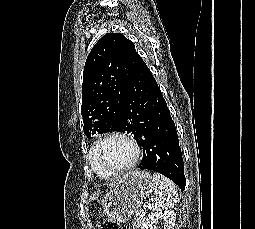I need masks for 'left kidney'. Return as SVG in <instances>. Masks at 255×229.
Here are the masks:
<instances>
[{
    "label": "left kidney",
    "instance_id": "obj_1",
    "mask_svg": "<svg viewBox=\"0 0 255 229\" xmlns=\"http://www.w3.org/2000/svg\"><path fill=\"white\" fill-rule=\"evenodd\" d=\"M176 214L173 210L150 214L143 223L142 229H158L157 224L163 220L164 229H173Z\"/></svg>",
    "mask_w": 255,
    "mask_h": 229
}]
</instances>
